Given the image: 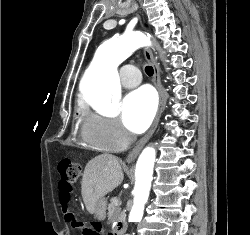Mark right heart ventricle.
<instances>
[{"label":"right heart ventricle","instance_id":"right-heart-ventricle-1","mask_svg":"<svg viewBox=\"0 0 250 235\" xmlns=\"http://www.w3.org/2000/svg\"><path fill=\"white\" fill-rule=\"evenodd\" d=\"M80 109L82 110V115H81V117H82V119H83V126H82V133H81V135H82V141L84 142V143H86L87 145H89V146H92V147H95V148H99V147H97L95 144H93L87 137H86V135H85V122H86V117H87V115H86V113H85V109H84V106L81 104V106H80ZM99 149H101V148H99ZM103 150V149H102Z\"/></svg>","mask_w":250,"mask_h":235}]
</instances>
